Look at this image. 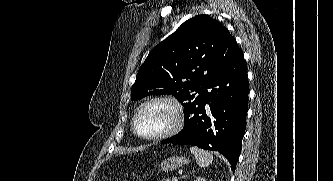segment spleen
<instances>
[{
    "mask_svg": "<svg viewBox=\"0 0 333 181\" xmlns=\"http://www.w3.org/2000/svg\"><path fill=\"white\" fill-rule=\"evenodd\" d=\"M191 153L196 159V162L201 167L209 166L213 161L212 153L199 149L197 147L190 148Z\"/></svg>",
    "mask_w": 333,
    "mask_h": 181,
    "instance_id": "3e777b00",
    "label": "spleen"
}]
</instances>
